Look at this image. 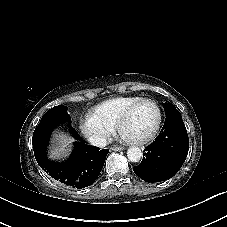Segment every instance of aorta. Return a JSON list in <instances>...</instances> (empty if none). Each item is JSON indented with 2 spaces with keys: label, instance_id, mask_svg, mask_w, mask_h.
I'll use <instances>...</instances> for the list:
<instances>
[{
  "label": "aorta",
  "instance_id": "aorta-1",
  "mask_svg": "<svg viewBox=\"0 0 227 227\" xmlns=\"http://www.w3.org/2000/svg\"><path fill=\"white\" fill-rule=\"evenodd\" d=\"M127 157L131 162H139L142 158V151L140 148L132 146L127 151Z\"/></svg>",
  "mask_w": 227,
  "mask_h": 227
}]
</instances>
